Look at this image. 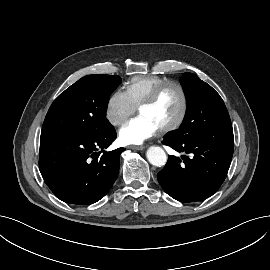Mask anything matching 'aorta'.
<instances>
[{
    "instance_id": "aorta-1",
    "label": "aorta",
    "mask_w": 270,
    "mask_h": 270,
    "mask_svg": "<svg viewBox=\"0 0 270 270\" xmlns=\"http://www.w3.org/2000/svg\"><path fill=\"white\" fill-rule=\"evenodd\" d=\"M148 161L157 167L164 166L167 162V156L165 151L158 146H151L146 153Z\"/></svg>"
}]
</instances>
